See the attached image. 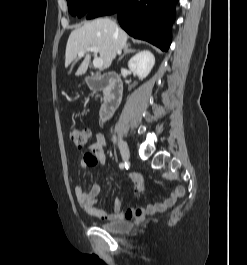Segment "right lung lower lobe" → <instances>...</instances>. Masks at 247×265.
Here are the masks:
<instances>
[{"label": "right lung lower lobe", "instance_id": "98d812e1", "mask_svg": "<svg viewBox=\"0 0 247 265\" xmlns=\"http://www.w3.org/2000/svg\"><path fill=\"white\" fill-rule=\"evenodd\" d=\"M178 0H105L87 15L92 19L117 13L121 27L131 36L146 40L167 51L171 44V25Z\"/></svg>", "mask_w": 247, "mask_h": 265}]
</instances>
